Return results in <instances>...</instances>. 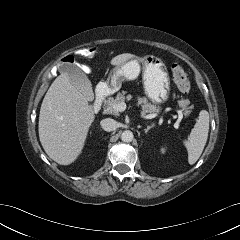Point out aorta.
Instances as JSON below:
<instances>
[{"instance_id":"1","label":"aorta","mask_w":240,"mask_h":240,"mask_svg":"<svg viewBox=\"0 0 240 240\" xmlns=\"http://www.w3.org/2000/svg\"><path fill=\"white\" fill-rule=\"evenodd\" d=\"M133 138H134V135L129 130L124 131L121 135V140L123 142H131L133 140Z\"/></svg>"}]
</instances>
